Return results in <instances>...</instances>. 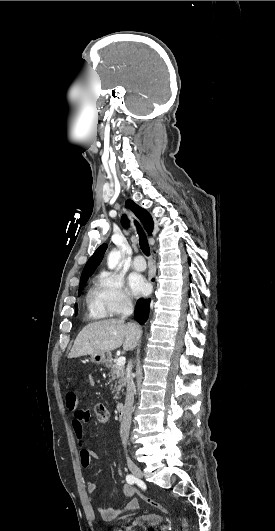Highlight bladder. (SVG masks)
Returning <instances> with one entry per match:
<instances>
[{
	"mask_svg": "<svg viewBox=\"0 0 275 531\" xmlns=\"http://www.w3.org/2000/svg\"><path fill=\"white\" fill-rule=\"evenodd\" d=\"M150 518H147V516H137L135 519V526L132 531H140L138 529L140 528H154V526H157L160 522H162V518L157 513H151Z\"/></svg>",
	"mask_w": 275,
	"mask_h": 531,
	"instance_id": "31cf9c89",
	"label": "bladder"
}]
</instances>
